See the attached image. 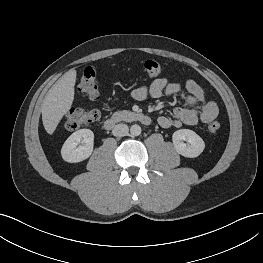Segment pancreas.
Wrapping results in <instances>:
<instances>
[{
  "instance_id": "1",
  "label": "pancreas",
  "mask_w": 263,
  "mask_h": 263,
  "mask_svg": "<svg viewBox=\"0 0 263 263\" xmlns=\"http://www.w3.org/2000/svg\"><path fill=\"white\" fill-rule=\"evenodd\" d=\"M135 114L133 112L123 110L117 111L112 115V119L115 121H128L130 120Z\"/></svg>"
}]
</instances>
